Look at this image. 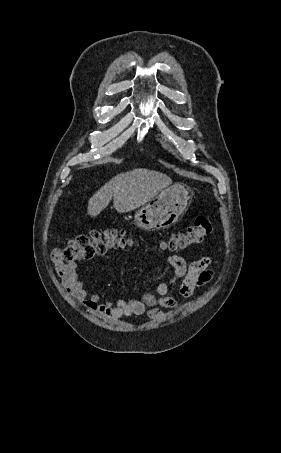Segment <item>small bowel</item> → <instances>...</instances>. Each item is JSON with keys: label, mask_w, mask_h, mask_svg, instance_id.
I'll list each match as a JSON object with an SVG mask.
<instances>
[{"label": "small bowel", "mask_w": 281, "mask_h": 453, "mask_svg": "<svg viewBox=\"0 0 281 453\" xmlns=\"http://www.w3.org/2000/svg\"><path fill=\"white\" fill-rule=\"evenodd\" d=\"M51 261L64 286L73 296L82 300L85 306L94 312L114 319L134 314H146L149 318H156L165 310H171L177 305L175 299L168 296L172 289H178L183 296L191 297L200 285L211 279L213 274L210 256L201 257L188 264L183 256L176 254L168 258L173 273L158 285L161 296L146 293L138 299H106L88 289L80 279L75 260H66L61 251L56 249L52 252Z\"/></svg>", "instance_id": "obj_1"}]
</instances>
